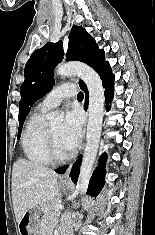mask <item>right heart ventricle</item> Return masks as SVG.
I'll return each instance as SVG.
<instances>
[{
	"instance_id": "e07e8e85",
	"label": "right heart ventricle",
	"mask_w": 155,
	"mask_h": 235,
	"mask_svg": "<svg viewBox=\"0 0 155 235\" xmlns=\"http://www.w3.org/2000/svg\"><path fill=\"white\" fill-rule=\"evenodd\" d=\"M45 112L39 108L30 115L21 141L25 157L37 165H46L51 162L46 148Z\"/></svg>"
}]
</instances>
